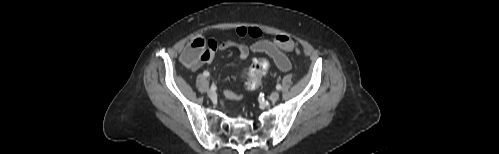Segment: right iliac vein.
Returning <instances> with one entry per match:
<instances>
[{"instance_id":"obj_1","label":"right iliac vein","mask_w":499,"mask_h":154,"mask_svg":"<svg viewBox=\"0 0 499 154\" xmlns=\"http://www.w3.org/2000/svg\"><path fill=\"white\" fill-rule=\"evenodd\" d=\"M207 94H208V97L212 100L217 98V94L212 90H209Z\"/></svg>"}]
</instances>
